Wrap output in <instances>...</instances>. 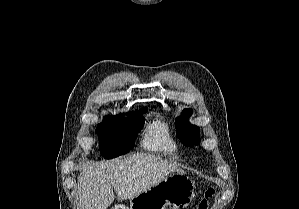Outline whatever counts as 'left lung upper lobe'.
<instances>
[{"mask_svg":"<svg viewBox=\"0 0 299 209\" xmlns=\"http://www.w3.org/2000/svg\"><path fill=\"white\" fill-rule=\"evenodd\" d=\"M182 117L176 118V133L181 142L186 146L198 145L199 140V128L195 125H191L188 122V118L192 115V109L183 110Z\"/></svg>","mask_w":299,"mask_h":209,"instance_id":"obj_1","label":"left lung upper lobe"}]
</instances>
